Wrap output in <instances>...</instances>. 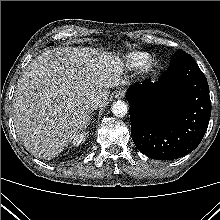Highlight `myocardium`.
<instances>
[{"instance_id":"f54148a6","label":"myocardium","mask_w":220,"mask_h":220,"mask_svg":"<svg viewBox=\"0 0 220 220\" xmlns=\"http://www.w3.org/2000/svg\"><path fill=\"white\" fill-rule=\"evenodd\" d=\"M152 64H153V61L151 58H146L142 61L141 63V71L142 72H147L151 69L152 67Z\"/></svg>"}]
</instances>
